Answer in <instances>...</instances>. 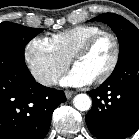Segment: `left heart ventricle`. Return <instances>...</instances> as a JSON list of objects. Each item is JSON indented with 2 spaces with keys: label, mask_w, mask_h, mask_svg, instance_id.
Returning <instances> with one entry per match:
<instances>
[{
  "label": "left heart ventricle",
  "mask_w": 139,
  "mask_h": 139,
  "mask_svg": "<svg viewBox=\"0 0 139 139\" xmlns=\"http://www.w3.org/2000/svg\"><path fill=\"white\" fill-rule=\"evenodd\" d=\"M113 53L114 46L112 40L104 37L76 62L75 67L95 80L107 69L112 60Z\"/></svg>",
  "instance_id": "1"
}]
</instances>
